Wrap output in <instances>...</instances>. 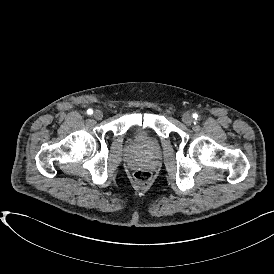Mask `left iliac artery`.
I'll use <instances>...</instances> for the list:
<instances>
[{"label":"left iliac artery","mask_w":274,"mask_h":274,"mask_svg":"<svg viewBox=\"0 0 274 274\" xmlns=\"http://www.w3.org/2000/svg\"><path fill=\"white\" fill-rule=\"evenodd\" d=\"M193 118H194V119H197V118H198V114L194 113V114H193Z\"/></svg>","instance_id":"44dca946"}]
</instances>
